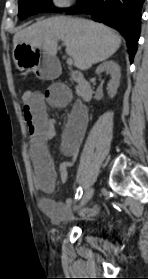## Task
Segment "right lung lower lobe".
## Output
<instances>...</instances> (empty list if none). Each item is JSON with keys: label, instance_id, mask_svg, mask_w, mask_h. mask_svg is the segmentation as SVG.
<instances>
[{"label": "right lung lower lobe", "instance_id": "obj_1", "mask_svg": "<svg viewBox=\"0 0 148 279\" xmlns=\"http://www.w3.org/2000/svg\"><path fill=\"white\" fill-rule=\"evenodd\" d=\"M143 3L144 0H84L66 13L90 14L93 20L117 29L128 43L132 62L137 51Z\"/></svg>", "mask_w": 148, "mask_h": 279}]
</instances>
